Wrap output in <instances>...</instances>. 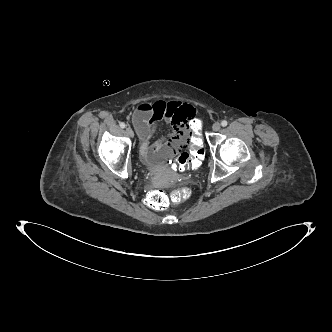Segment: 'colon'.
Listing matches in <instances>:
<instances>
[{
  "label": "colon",
  "instance_id": "obj_1",
  "mask_svg": "<svg viewBox=\"0 0 332 332\" xmlns=\"http://www.w3.org/2000/svg\"><path fill=\"white\" fill-rule=\"evenodd\" d=\"M203 123L200 118L193 117L189 121L190 137L185 141V148L169 162L173 171L196 168L204 157L205 140L203 138ZM191 190L183 188L174 191L170 198L163 191H153L148 196V204L155 209H165L169 203L178 204L190 197Z\"/></svg>",
  "mask_w": 332,
  "mask_h": 332
}]
</instances>
